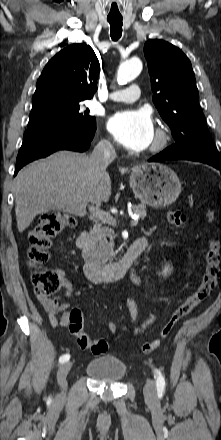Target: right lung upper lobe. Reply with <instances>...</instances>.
<instances>
[{"label":"right lung upper lobe","instance_id":"1","mask_svg":"<svg viewBox=\"0 0 221 440\" xmlns=\"http://www.w3.org/2000/svg\"><path fill=\"white\" fill-rule=\"evenodd\" d=\"M100 71L93 49L72 44L56 54L45 66L32 98L33 107L49 103H82L97 90Z\"/></svg>","mask_w":221,"mask_h":440}]
</instances>
